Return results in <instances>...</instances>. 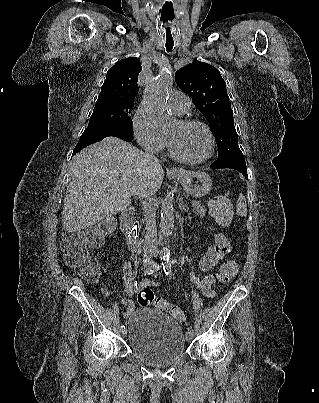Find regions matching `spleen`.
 I'll use <instances>...</instances> for the list:
<instances>
[{
	"mask_svg": "<svg viewBox=\"0 0 319 403\" xmlns=\"http://www.w3.org/2000/svg\"><path fill=\"white\" fill-rule=\"evenodd\" d=\"M237 212L240 216L245 217L247 215V204L245 196L240 193L237 200Z\"/></svg>",
	"mask_w": 319,
	"mask_h": 403,
	"instance_id": "3e777b00",
	"label": "spleen"
}]
</instances>
